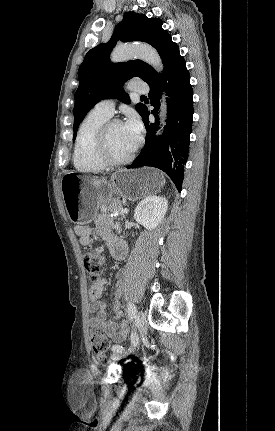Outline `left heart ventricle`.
Masks as SVG:
<instances>
[{"label": "left heart ventricle", "mask_w": 275, "mask_h": 431, "mask_svg": "<svg viewBox=\"0 0 275 431\" xmlns=\"http://www.w3.org/2000/svg\"><path fill=\"white\" fill-rule=\"evenodd\" d=\"M108 147L111 155L117 159L125 158L132 152L124 137L122 124L111 127L108 133Z\"/></svg>", "instance_id": "1"}]
</instances>
